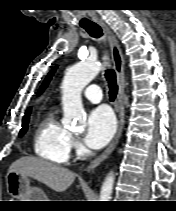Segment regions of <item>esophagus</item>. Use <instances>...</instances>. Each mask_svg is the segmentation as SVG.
Returning <instances> with one entry per match:
<instances>
[{
    "instance_id": "34e87169",
    "label": "esophagus",
    "mask_w": 176,
    "mask_h": 211,
    "mask_svg": "<svg viewBox=\"0 0 176 211\" xmlns=\"http://www.w3.org/2000/svg\"><path fill=\"white\" fill-rule=\"evenodd\" d=\"M102 28L105 30V32L108 35V39L110 41L111 45V55L112 60L114 64V68L117 75V83H118V94H117V110L119 113V125L116 132V135L110 145L106 148V150L95 160H93L90 165L87 167V171L90 172L94 170L98 165H100L104 160H106L113 150L115 149L124 128V116H125V110H124V92H125V75H124V58L123 54L119 45L118 40L116 39L115 35L112 33V31L106 26L103 22L100 23Z\"/></svg>"
}]
</instances>
